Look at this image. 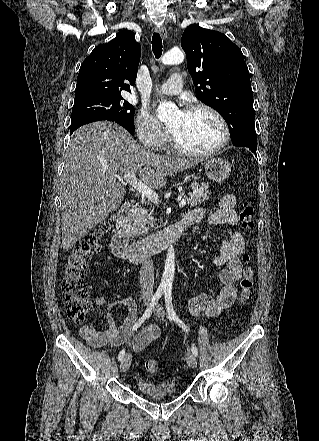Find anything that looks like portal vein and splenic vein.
I'll return each instance as SVG.
<instances>
[{
	"instance_id": "obj_1",
	"label": "portal vein and splenic vein",
	"mask_w": 319,
	"mask_h": 441,
	"mask_svg": "<svg viewBox=\"0 0 319 441\" xmlns=\"http://www.w3.org/2000/svg\"><path fill=\"white\" fill-rule=\"evenodd\" d=\"M126 182H128L132 188H134L136 191L141 193L143 196H146L151 202L158 203L159 198L156 192H154L150 187H148L146 184H144L142 181H140L137 177L135 172H127L124 173L122 177ZM186 204V200L183 199L179 203V207H183Z\"/></svg>"
}]
</instances>
